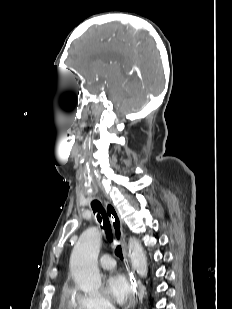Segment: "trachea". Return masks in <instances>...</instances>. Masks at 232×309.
Masks as SVG:
<instances>
[{
    "label": "trachea",
    "instance_id": "3493384b",
    "mask_svg": "<svg viewBox=\"0 0 232 309\" xmlns=\"http://www.w3.org/2000/svg\"><path fill=\"white\" fill-rule=\"evenodd\" d=\"M91 207L94 211V214H96V218L98 220V222L101 225V228L105 231L107 240L109 242L113 241V235L111 232V225H110V221L108 219V216L105 213V210L102 206V204L98 201V200H94L91 203ZM115 254L120 258L123 259V254H122V248L121 246H116L115 249Z\"/></svg>",
    "mask_w": 232,
    "mask_h": 309
}]
</instances>
